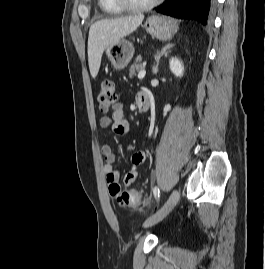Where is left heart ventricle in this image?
I'll return each mask as SVG.
<instances>
[{
    "label": "left heart ventricle",
    "mask_w": 265,
    "mask_h": 269,
    "mask_svg": "<svg viewBox=\"0 0 265 269\" xmlns=\"http://www.w3.org/2000/svg\"><path fill=\"white\" fill-rule=\"evenodd\" d=\"M131 1L134 2V3H146V2H148L150 0H131Z\"/></svg>",
    "instance_id": "1"
}]
</instances>
